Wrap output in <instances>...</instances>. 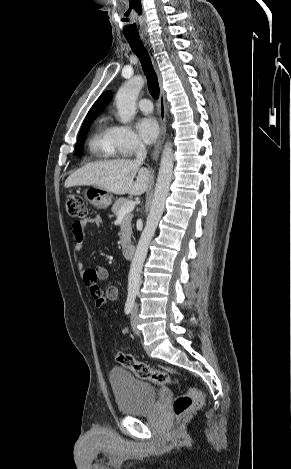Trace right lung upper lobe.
I'll list each match as a JSON object with an SVG mask.
<instances>
[{"label": "right lung upper lobe", "mask_w": 291, "mask_h": 469, "mask_svg": "<svg viewBox=\"0 0 291 469\" xmlns=\"http://www.w3.org/2000/svg\"><path fill=\"white\" fill-rule=\"evenodd\" d=\"M111 98H112L111 91H106L105 93H103L94 103L92 108L89 110L86 118H89V117L95 118L97 114L100 113V111L110 102Z\"/></svg>", "instance_id": "cb5924a9"}]
</instances>
